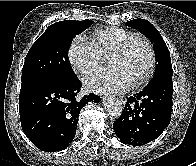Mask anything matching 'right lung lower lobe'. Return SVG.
Returning <instances> with one entry per match:
<instances>
[{"label": "right lung lower lobe", "mask_w": 196, "mask_h": 166, "mask_svg": "<svg viewBox=\"0 0 196 166\" xmlns=\"http://www.w3.org/2000/svg\"><path fill=\"white\" fill-rule=\"evenodd\" d=\"M82 84L76 77L71 81L48 76L22 80L19 112L22 129L39 149L56 152L66 149L75 137L78 115L88 102L100 97L89 94L77 97Z\"/></svg>", "instance_id": "1"}]
</instances>
